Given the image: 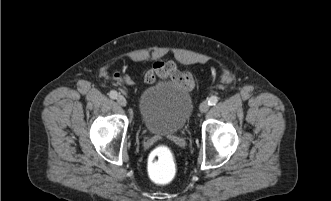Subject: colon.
I'll return each instance as SVG.
<instances>
[{"mask_svg": "<svg viewBox=\"0 0 331 201\" xmlns=\"http://www.w3.org/2000/svg\"><path fill=\"white\" fill-rule=\"evenodd\" d=\"M148 172L153 182L167 184L175 176L176 164L170 150L166 147L155 149L148 161Z\"/></svg>", "mask_w": 331, "mask_h": 201, "instance_id": "1", "label": "colon"}]
</instances>
